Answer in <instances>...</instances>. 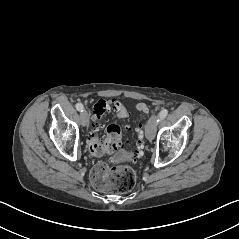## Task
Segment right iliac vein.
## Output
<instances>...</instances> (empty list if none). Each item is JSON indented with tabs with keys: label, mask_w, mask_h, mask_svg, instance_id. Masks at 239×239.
Returning <instances> with one entry per match:
<instances>
[{
	"label": "right iliac vein",
	"mask_w": 239,
	"mask_h": 239,
	"mask_svg": "<svg viewBox=\"0 0 239 239\" xmlns=\"http://www.w3.org/2000/svg\"><path fill=\"white\" fill-rule=\"evenodd\" d=\"M80 121H81L82 126H87L88 125L89 116H88V113L86 111H82L80 113Z\"/></svg>",
	"instance_id": "right-iliac-vein-1"
}]
</instances>
